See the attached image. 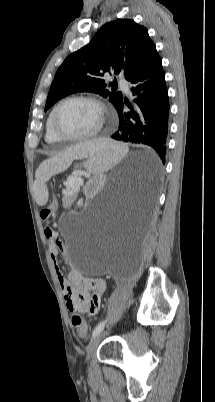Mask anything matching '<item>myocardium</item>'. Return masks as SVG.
<instances>
[{"instance_id": "myocardium-1", "label": "myocardium", "mask_w": 215, "mask_h": 402, "mask_svg": "<svg viewBox=\"0 0 215 402\" xmlns=\"http://www.w3.org/2000/svg\"><path fill=\"white\" fill-rule=\"evenodd\" d=\"M70 101H86V102L95 104L99 108L100 114H101V119H100L99 125L97 126L96 129H94L93 131H91L89 133H86L83 135H76V136L68 135L59 129V127L57 125V120H56L57 113L64 104H66ZM108 114H109V112H108L107 106L99 98H97L95 96H91V95H72V96H68V97L62 99L61 101H59L53 108V110L51 112V127H52L54 134L58 138H60L61 140H64V141L78 142V141L91 140V139H94L97 136H99L100 133L102 132L105 122L108 118Z\"/></svg>"}]
</instances>
